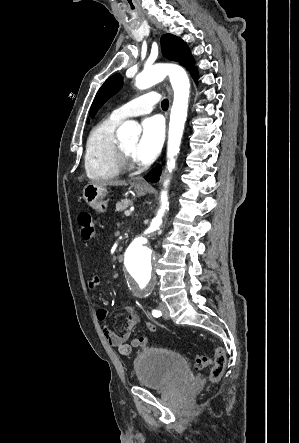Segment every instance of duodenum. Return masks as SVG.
<instances>
[{
  "label": "duodenum",
  "instance_id": "duodenum-1",
  "mask_svg": "<svg viewBox=\"0 0 299 443\" xmlns=\"http://www.w3.org/2000/svg\"><path fill=\"white\" fill-rule=\"evenodd\" d=\"M121 259H122V255H119V256L117 257V260H118V261H121Z\"/></svg>",
  "mask_w": 299,
  "mask_h": 443
}]
</instances>
